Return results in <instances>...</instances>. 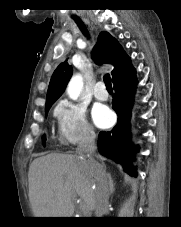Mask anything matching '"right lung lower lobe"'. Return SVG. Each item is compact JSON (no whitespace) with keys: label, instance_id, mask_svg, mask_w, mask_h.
Wrapping results in <instances>:
<instances>
[{"label":"right lung lower lobe","instance_id":"right-lung-lower-lobe-1","mask_svg":"<svg viewBox=\"0 0 181 227\" xmlns=\"http://www.w3.org/2000/svg\"><path fill=\"white\" fill-rule=\"evenodd\" d=\"M136 71L127 56L118 72L112 78L115 94L112 108L118 115V122L111 131H103L98 136L99 152L123 165L125 171L136 176L131 167L133 148L130 134V116L133 95L137 84Z\"/></svg>","mask_w":181,"mask_h":227}]
</instances>
